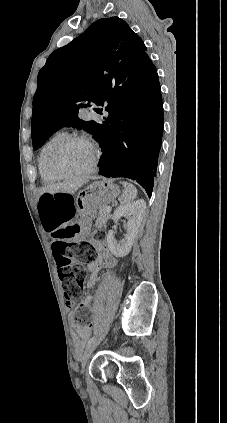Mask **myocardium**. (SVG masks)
Here are the masks:
<instances>
[{
    "mask_svg": "<svg viewBox=\"0 0 227 423\" xmlns=\"http://www.w3.org/2000/svg\"><path fill=\"white\" fill-rule=\"evenodd\" d=\"M84 143L94 150V159L88 169L81 173H71L67 171L59 162V155L70 144ZM99 162V152L95 145L88 138L82 135H67L54 144L47 153L46 163L48 168L57 176L67 180H80L93 174Z\"/></svg>",
    "mask_w": 227,
    "mask_h": 423,
    "instance_id": "obj_1",
    "label": "myocardium"
}]
</instances>
